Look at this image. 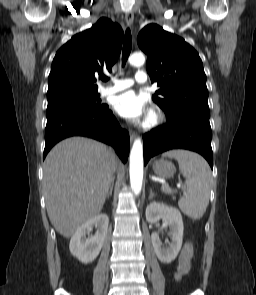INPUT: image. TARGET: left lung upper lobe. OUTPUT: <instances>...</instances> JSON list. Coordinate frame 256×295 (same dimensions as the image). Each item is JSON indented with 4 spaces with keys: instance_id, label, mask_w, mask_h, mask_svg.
Listing matches in <instances>:
<instances>
[{
    "instance_id": "left-lung-upper-lobe-1",
    "label": "left lung upper lobe",
    "mask_w": 256,
    "mask_h": 295,
    "mask_svg": "<svg viewBox=\"0 0 256 295\" xmlns=\"http://www.w3.org/2000/svg\"><path fill=\"white\" fill-rule=\"evenodd\" d=\"M138 45L148 56L151 82L161 86L152 99L163 109L166 119L183 113L209 117L206 75L196 50L157 24L140 31Z\"/></svg>"
}]
</instances>
